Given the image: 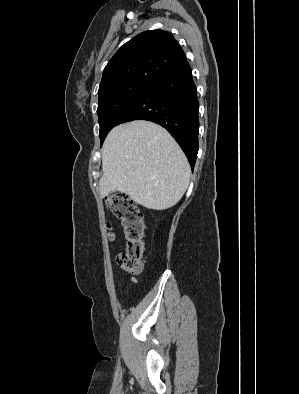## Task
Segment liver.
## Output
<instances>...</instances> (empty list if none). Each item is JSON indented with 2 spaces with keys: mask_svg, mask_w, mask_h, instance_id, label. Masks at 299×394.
Segmentation results:
<instances>
[{
  "mask_svg": "<svg viewBox=\"0 0 299 394\" xmlns=\"http://www.w3.org/2000/svg\"><path fill=\"white\" fill-rule=\"evenodd\" d=\"M100 194L119 191L154 210L174 206L190 180L188 160L163 127L135 120L114 127L103 144Z\"/></svg>",
  "mask_w": 299,
  "mask_h": 394,
  "instance_id": "1",
  "label": "liver"
}]
</instances>
